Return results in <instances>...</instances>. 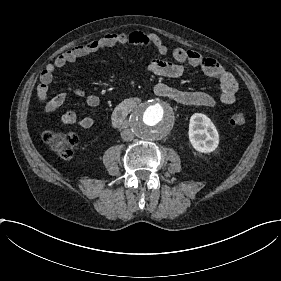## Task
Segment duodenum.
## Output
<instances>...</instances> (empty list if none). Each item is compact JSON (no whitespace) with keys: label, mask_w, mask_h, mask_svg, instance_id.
<instances>
[{"label":"duodenum","mask_w":281,"mask_h":281,"mask_svg":"<svg viewBox=\"0 0 281 281\" xmlns=\"http://www.w3.org/2000/svg\"><path fill=\"white\" fill-rule=\"evenodd\" d=\"M139 104L138 98H129L121 102L112 113V123L114 126L119 127L127 122L129 114Z\"/></svg>","instance_id":"1"}]
</instances>
